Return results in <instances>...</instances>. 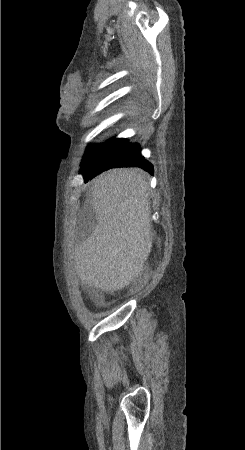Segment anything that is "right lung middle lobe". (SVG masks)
Returning a JSON list of instances; mask_svg holds the SVG:
<instances>
[{
  "mask_svg": "<svg viewBox=\"0 0 245 450\" xmlns=\"http://www.w3.org/2000/svg\"><path fill=\"white\" fill-rule=\"evenodd\" d=\"M127 144L128 142L126 139H111L97 149L86 151L83 156L80 172L95 167L106 154L116 152L124 148Z\"/></svg>",
  "mask_w": 245,
  "mask_h": 450,
  "instance_id": "obj_1",
  "label": "right lung middle lobe"
}]
</instances>
